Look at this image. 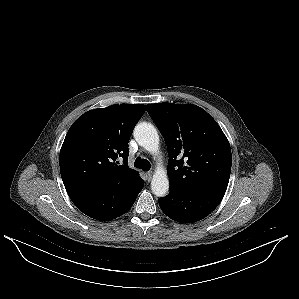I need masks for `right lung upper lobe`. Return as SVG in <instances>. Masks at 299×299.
Segmentation results:
<instances>
[{"label": "right lung upper lobe", "instance_id": "right-lung-upper-lobe-1", "mask_svg": "<svg viewBox=\"0 0 299 299\" xmlns=\"http://www.w3.org/2000/svg\"><path fill=\"white\" fill-rule=\"evenodd\" d=\"M145 109L143 104H116L88 111L72 124L59 157L67 192L116 182L132 194L144 183L128 167V142Z\"/></svg>", "mask_w": 299, "mask_h": 299}]
</instances>
